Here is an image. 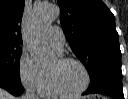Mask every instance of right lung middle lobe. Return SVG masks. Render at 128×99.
<instances>
[{"label":"right lung middle lobe","mask_w":128,"mask_h":99,"mask_svg":"<svg viewBox=\"0 0 128 99\" xmlns=\"http://www.w3.org/2000/svg\"><path fill=\"white\" fill-rule=\"evenodd\" d=\"M21 47L0 45V77L21 83L19 72V56Z\"/></svg>","instance_id":"1"}]
</instances>
